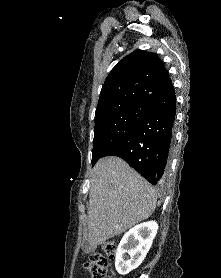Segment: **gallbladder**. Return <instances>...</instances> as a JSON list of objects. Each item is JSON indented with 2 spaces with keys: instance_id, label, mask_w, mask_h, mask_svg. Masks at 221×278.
<instances>
[{
  "instance_id": "obj_1",
  "label": "gallbladder",
  "mask_w": 221,
  "mask_h": 278,
  "mask_svg": "<svg viewBox=\"0 0 221 278\" xmlns=\"http://www.w3.org/2000/svg\"><path fill=\"white\" fill-rule=\"evenodd\" d=\"M84 251L88 252L89 251V245L86 244L84 247H83Z\"/></svg>"
}]
</instances>
